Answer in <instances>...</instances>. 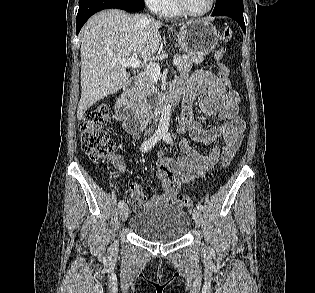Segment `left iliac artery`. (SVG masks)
<instances>
[{
  "label": "left iliac artery",
  "instance_id": "1",
  "mask_svg": "<svg viewBox=\"0 0 315 293\" xmlns=\"http://www.w3.org/2000/svg\"><path fill=\"white\" fill-rule=\"evenodd\" d=\"M162 138H163L164 141H166V142L169 143V144H172V143H173L172 137H171V135H170L169 132H163ZM197 208H198L200 211H202V210H203V205L200 204V203H198V204H197Z\"/></svg>",
  "mask_w": 315,
  "mask_h": 293
}]
</instances>
